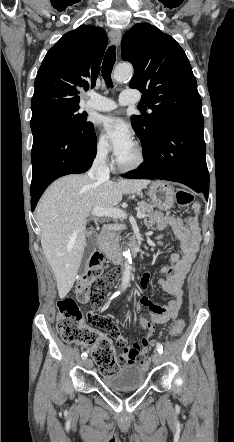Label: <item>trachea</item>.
I'll list each match as a JSON object with an SVG mask.
<instances>
[{
	"label": "trachea",
	"instance_id": "trachea-1",
	"mask_svg": "<svg viewBox=\"0 0 234 442\" xmlns=\"http://www.w3.org/2000/svg\"><path fill=\"white\" fill-rule=\"evenodd\" d=\"M115 46H110L105 54L102 64V76L108 87L112 86L111 73L115 63Z\"/></svg>",
	"mask_w": 234,
	"mask_h": 442
}]
</instances>
